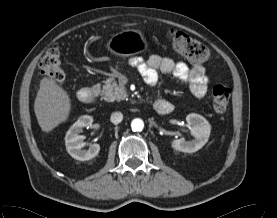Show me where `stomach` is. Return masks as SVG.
Masks as SVG:
<instances>
[{"mask_svg":"<svg viewBox=\"0 0 277 218\" xmlns=\"http://www.w3.org/2000/svg\"><path fill=\"white\" fill-rule=\"evenodd\" d=\"M107 49L117 56H129L147 48L144 34L138 30H125L116 33L107 43Z\"/></svg>","mask_w":277,"mask_h":218,"instance_id":"stomach-1","label":"stomach"}]
</instances>
